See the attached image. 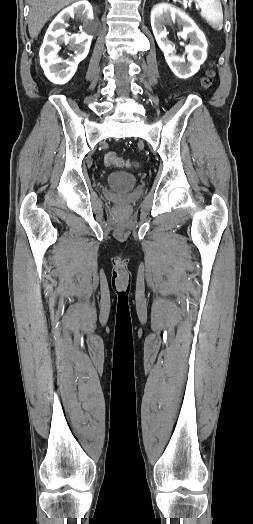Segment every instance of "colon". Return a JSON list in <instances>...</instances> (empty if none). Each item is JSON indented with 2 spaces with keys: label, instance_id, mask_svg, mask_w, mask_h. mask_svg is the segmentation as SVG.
<instances>
[{
  "label": "colon",
  "instance_id": "1",
  "mask_svg": "<svg viewBox=\"0 0 253 524\" xmlns=\"http://www.w3.org/2000/svg\"><path fill=\"white\" fill-rule=\"evenodd\" d=\"M215 78V72L210 71L208 72L207 76L203 78L202 80V86L204 88H209L212 86ZM104 163L108 167H121V166H129V164H125L121 157L114 151L106 153L104 156Z\"/></svg>",
  "mask_w": 253,
  "mask_h": 524
}]
</instances>
